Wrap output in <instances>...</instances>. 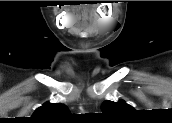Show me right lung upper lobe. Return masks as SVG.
Returning <instances> with one entry per match:
<instances>
[{"label": "right lung upper lobe", "instance_id": "cb5924a9", "mask_svg": "<svg viewBox=\"0 0 172 123\" xmlns=\"http://www.w3.org/2000/svg\"><path fill=\"white\" fill-rule=\"evenodd\" d=\"M69 114L66 105L46 102L35 110L30 120L39 123H52L64 119Z\"/></svg>", "mask_w": 172, "mask_h": 123}]
</instances>
